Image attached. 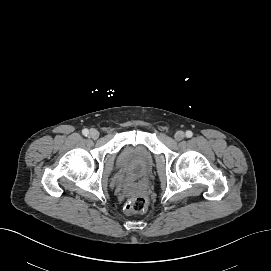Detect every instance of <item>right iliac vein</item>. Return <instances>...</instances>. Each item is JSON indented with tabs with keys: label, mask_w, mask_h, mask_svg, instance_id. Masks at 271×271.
Here are the masks:
<instances>
[{
	"label": "right iliac vein",
	"mask_w": 271,
	"mask_h": 271,
	"mask_svg": "<svg viewBox=\"0 0 271 271\" xmlns=\"http://www.w3.org/2000/svg\"><path fill=\"white\" fill-rule=\"evenodd\" d=\"M89 135L92 139H97L99 137V132L96 129H91Z\"/></svg>",
	"instance_id": "63e3f726"
}]
</instances>
